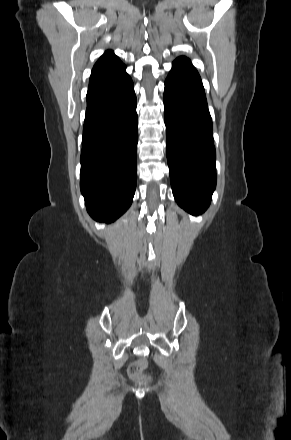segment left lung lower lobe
Instances as JSON below:
<instances>
[{
	"instance_id": "left-lung-lower-lobe-1",
	"label": "left lung lower lobe",
	"mask_w": 291,
	"mask_h": 440,
	"mask_svg": "<svg viewBox=\"0 0 291 440\" xmlns=\"http://www.w3.org/2000/svg\"><path fill=\"white\" fill-rule=\"evenodd\" d=\"M164 107L173 195L181 208L199 215L208 208L216 186L215 148L201 78L186 57L173 62Z\"/></svg>"
}]
</instances>
